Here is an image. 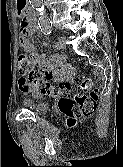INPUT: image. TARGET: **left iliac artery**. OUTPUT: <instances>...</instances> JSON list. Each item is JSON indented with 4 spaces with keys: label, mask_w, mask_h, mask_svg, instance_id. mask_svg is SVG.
Returning a JSON list of instances; mask_svg holds the SVG:
<instances>
[{
    "label": "left iliac artery",
    "mask_w": 123,
    "mask_h": 167,
    "mask_svg": "<svg viewBox=\"0 0 123 167\" xmlns=\"http://www.w3.org/2000/svg\"><path fill=\"white\" fill-rule=\"evenodd\" d=\"M51 32H52V30H49V31H47V34H50ZM54 47H55L56 49H58V48H59V44H58V43H55Z\"/></svg>",
    "instance_id": "obj_1"
}]
</instances>
